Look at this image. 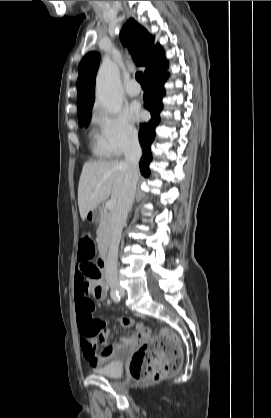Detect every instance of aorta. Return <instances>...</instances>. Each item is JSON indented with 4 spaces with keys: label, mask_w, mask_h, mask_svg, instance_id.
<instances>
[{
    "label": "aorta",
    "mask_w": 271,
    "mask_h": 418,
    "mask_svg": "<svg viewBox=\"0 0 271 418\" xmlns=\"http://www.w3.org/2000/svg\"><path fill=\"white\" fill-rule=\"evenodd\" d=\"M97 99L100 105L110 113L120 112L123 104L119 69L106 60L102 63L96 78Z\"/></svg>",
    "instance_id": "aorta-1"
}]
</instances>
